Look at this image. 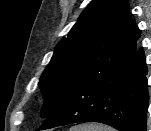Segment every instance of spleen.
I'll list each match as a JSON object with an SVG mask.
<instances>
[{"label":"spleen","instance_id":"3e777b00","mask_svg":"<svg viewBox=\"0 0 151 131\" xmlns=\"http://www.w3.org/2000/svg\"><path fill=\"white\" fill-rule=\"evenodd\" d=\"M70 131H115L113 128L101 124H82L70 128Z\"/></svg>","mask_w":151,"mask_h":131}]
</instances>
